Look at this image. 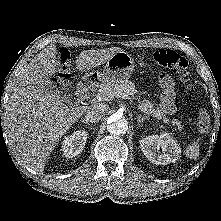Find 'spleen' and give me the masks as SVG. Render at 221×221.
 <instances>
[{
	"instance_id": "1",
	"label": "spleen",
	"mask_w": 221,
	"mask_h": 221,
	"mask_svg": "<svg viewBox=\"0 0 221 221\" xmlns=\"http://www.w3.org/2000/svg\"><path fill=\"white\" fill-rule=\"evenodd\" d=\"M200 140L201 138H198L196 141L193 142V144L189 145L186 149L185 154L190 159H196L199 156Z\"/></svg>"
}]
</instances>
